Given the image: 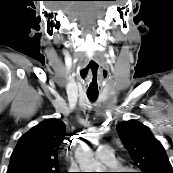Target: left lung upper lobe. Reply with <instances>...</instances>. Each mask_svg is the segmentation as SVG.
Segmentation results:
<instances>
[{
	"label": "left lung upper lobe",
	"instance_id": "left-lung-upper-lobe-1",
	"mask_svg": "<svg viewBox=\"0 0 173 173\" xmlns=\"http://www.w3.org/2000/svg\"><path fill=\"white\" fill-rule=\"evenodd\" d=\"M117 131L140 173H173L164 147L147 126L130 120L119 123Z\"/></svg>",
	"mask_w": 173,
	"mask_h": 173
}]
</instances>
